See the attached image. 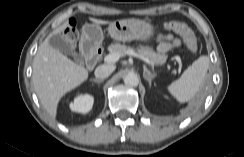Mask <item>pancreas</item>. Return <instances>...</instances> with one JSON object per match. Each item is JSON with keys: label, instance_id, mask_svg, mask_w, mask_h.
<instances>
[{"label": "pancreas", "instance_id": "obj_1", "mask_svg": "<svg viewBox=\"0 0 244 157\" xmlns=\"http://www.w3.org/2000/svg\"><path fill=\"white\" fill-rule=\"evenodd\" d=\"M108 50L111 54L118 53L120 55V57L125 56L127 54L126 53L127 51L136 50L138 54L146 56L156 65H161V64L165 63V61L167 59V55L157 53L153 49H151L149 47H144V46L134 49L131 46H126V45H122L120 43H115V44H111L108 47Z\"/></svg>", "mask_w": 244, "mask_h": 157}]
</instances>
